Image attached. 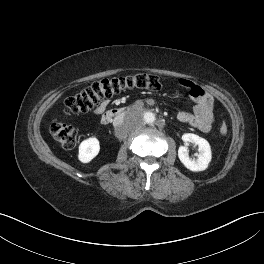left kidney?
<instances>
[{"mask_svg":"<svg viewBox=\"0 0 264 264\" xmlns=\"http://www.w3.org/2000/svg\"><path fill=\"white\" fill-rule=\"evenodd\" d=\"M182 140L188 144L192 143L198 145V157L197 159H191L186 146H180L178 149V157L184 166L191 171H203L208 167L211 161L212 154L211 148L207 140L199 137L193 133H185L182 136Z\"/></svg>","mask_w":264,"mask_h":264,"instance_id":"1","label":"left kidney"}]
</instances>
